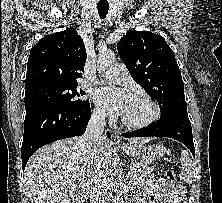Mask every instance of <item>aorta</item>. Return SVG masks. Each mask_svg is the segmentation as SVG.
Returning a JSON list of instances; mask_svg holds the SVG:
<instances>
[{"mask_svg": "<svg viewBox=\"0 0 222 203\" xmlns=\"http://www.w3.org/2000/svg\"><path fill=\"white\" fill-rule=\"evenodd\" d=\"M115 62V55L113 53H100L97 61V67L100 72L106 71ZM113 203H123L121 194L117 191Z\"/></svg>", "mask_w": 222, "mask_h": 203, "instance_id": "aorta-1", "label": "aorta"}]
</instances>
